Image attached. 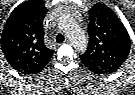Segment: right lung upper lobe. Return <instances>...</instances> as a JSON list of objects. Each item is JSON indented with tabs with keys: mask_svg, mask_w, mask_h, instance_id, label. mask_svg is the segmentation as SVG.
I'll return each mask as SVG.
<instances>
[{
	"mask_svg": "<svg viewBox=\"0 0 135 95\" xmlns=\"http://www.w3.org/2000/svg\"><path fill=\"white\" fill-rule=\"evenodd\" d=\"M44 16L43 8L19 6L5 24L1 49L9 64L19 72L39 73L53 55L44 44Z\"/></svg>",
	"mask_w": 135,
	"mask_h": 95,
	"instance_id": "1",
	"label": "right lung upper lobe"
}]
</instances>
